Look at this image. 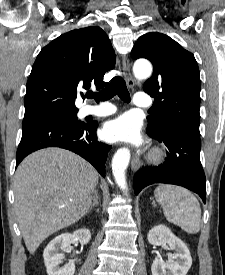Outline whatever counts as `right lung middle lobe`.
Instances as JSON below:
<instances>
[{
	"mask_svg": "<svg viewBox=\"0 0 225 275\" xmlns=\"http://www.w3.org/2000/svg\"><path fill=\"white\" fill-rule=\"evenodd\" d=\"M77 112H78V110H56V111L43 113L40 115H51V116L61 118L65 121L80 125V124H82V122H80L77 119Z\"/></svg>",
	"mask_w": 225,
	"mask_h": 275,
	"instance_id": "1",
	"label": "right lung middle lobe"
}]
</instances>
